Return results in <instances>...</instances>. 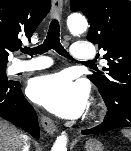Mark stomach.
<instances>
[{"mask_svg": "<svg viewBox=\"0 0 131 151\" xmlns=\"http://www.w3.org/2000/svg\"><path fill=\"white\" fill-rule=\"evenodd\" d=\"M86 151H104L103 144L95 139H90L85 145Z\"/></svg>", "mask_w": 131, "mask_h": 151, "instance_id": "stomach-1", "label": "stomach"}]
</instances>
